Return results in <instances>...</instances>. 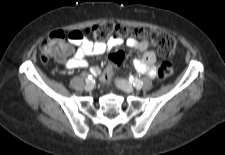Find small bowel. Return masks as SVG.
<instances>
[{"instance_id": "obj_1", "label": "small bowel", "mask_w": 225, "mask_h": 155, "mask_svg": "<svg viewBox=\"0 0 225 155\" xmlns=\"http://www.w3.org/2000/svg\"><path fill=\"white\" fill-rule=\"evenodd\" d=\"M71 41L76 45L73 57L66 62L68 69L86 68L88 63L86 57L90 55H99L108 52L120 45L123 39L110 38L107 41H91L86 39V34L82 30H75L71 34ZM126 45L140 52L141 56L133 61L135 69L148 76L156 75V52L150 49L147 39L139 40L137 37L130 36L125 41ZM90 71L94 75L100 73L97 66H91Z\"/></svg>"}]
</instances>
